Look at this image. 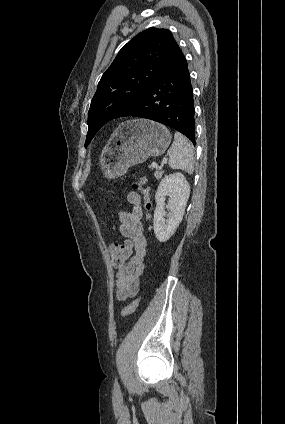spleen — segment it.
Here are the masks:
<instances>
[{
    "label": "spleen",
    "instance_id": "spleen-1",
    "mask_svg": "<svg viewBox=\"0 0 285 424\" xmlns=\"http://www.w3.org/2000/svg\"><path fill=\"white\" fill-rule=\"evenodd\" d=\"M169 156V166L172 169H181L188 173L194 171L193 148L186 137L180 133H175L174 142L167 152Z\"/></svg>",
    "mask_w": 285,
    "mask_h": 424
}]
</instances>
